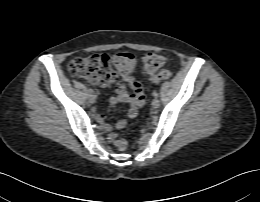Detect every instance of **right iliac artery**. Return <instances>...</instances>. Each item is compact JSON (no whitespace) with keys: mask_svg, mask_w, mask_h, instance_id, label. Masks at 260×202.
<instances>
[{"mask_svg":"<svg viewBox=\"0 0 260 202\" xmlns=\"http://www.w3.org/2000/svg\"><path fill=\"white\" fill-rule=\"evenodd\" d=\"M88 93H89V94H93L94 91H93L92 89H89V90H88Z\"/></svg>","mask_w":260,"mask_h":202,"instance_id":"obj_1","label":"right iliac artery"}]
</instances>
